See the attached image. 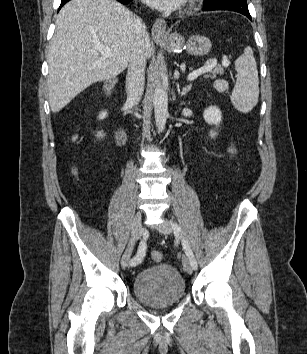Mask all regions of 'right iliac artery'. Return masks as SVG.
Returning a JSON list of instances; mask_svg holds the SVG:
<instances>
[{"label": "right iliac artery", "mask_w": 307, "mask_h": 354, "mask_svg": "<svg viewBox=\"0 0 307 354\" xmlns=\"http://www.w3.org/2000/svg\"><path fill=\"white\" fill-rule=\"evenodd\" d=\"M146 253V242L144 240H141L137 254L130 260L129 264L131 266H136L138 265L144 258Z\"/></svg>", "instance_id": "1"}]
</instances>
